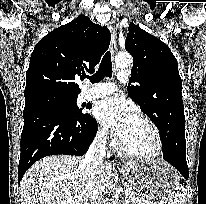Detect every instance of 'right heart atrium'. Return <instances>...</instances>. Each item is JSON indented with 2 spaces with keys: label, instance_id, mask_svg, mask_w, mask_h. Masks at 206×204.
<instances>
[{
  "label": "right heart atrium",
  "instance_id": "d8ad5b80",
  "mask_svg": "<svg viewBox=\"0 0 206 204\" xmlns=\"http://www.w3.org/2000/svg\"><path fill=\"white\" fill-rule=\"evenodd\" d=\"M97 138L101 142H108L109 141V134L105 127L100 126L97 130Z\"/></svg>",
  "mask_w": 206,
  "mask_h": 204
}]
</instances>
